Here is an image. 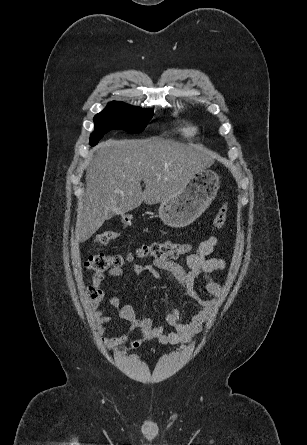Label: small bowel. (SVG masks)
I'll return each instance as SVG.
<instances>
[{
	"instance_id": "c3829d8e",
	"label": "small bowel",
	"mask_w": 307,
	"mask_h": 445,
	"mask_svg": "<svg viewBox=\"0 0 307 445\" xmlns=\"http://www.w3.org/2000/svg\"><path fill=\"white\" fill-rule=\"evenodd\" d=\"M218 244L215 235L209 236L202 241L196 251L191 253L187 259L186 270L179 263L170 259H155L150 265L133 263L131 270L134 274L148 273L154 278L160 277V272L169 273L182 287L185 295L195 301L201 309L185 321L180 320V310L172 309L166 316L168 325L172 328L168 331L162 326H154L153 320L149 317L139 318L131 305L123 304L118 297H111L108 302L113 312L106 314L98 306L105 299L102 288L106 277H120L123 275L122 268H113L107 273H95L92 278V285L97 290V297L94 299V317L97 324L104 325L110 322L115 316L125 321L129 325V331L139 330L141 337L129 342V333L113 338H102V342L110 349L127 351L137 349L143 341L157 340L162 344L176 345L188 343L194 339L202 330L203 324L209 318L216 299L221 295V286L213 280V274L222 271L226 267V262L221 258L212 257ZM200 279L203 282L205 291L212 296L210 299L201 297L195 290V282Z\"/></svg>"
}]
</instances>
